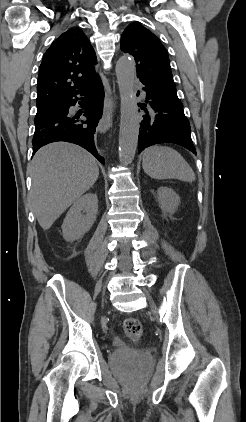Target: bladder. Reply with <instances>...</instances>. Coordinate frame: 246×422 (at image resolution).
I'll use <instances>...</instances> for the list:
<instances>
[{
    "label": "bladder",
    "mask_w": 246,
    "mask_h": 422,
    "mask_svg": "<svg viewBox=\"0 0 246 422\" xmlns=\"http://www.w3.org/2000/svg\"><path fill=\"white\" fill-rule=\"evenodd\" d=\"M109 361L115 368L131 367L143 370L152 364L153 358L147 351L119 346L112 351Z\"/></svg>",
    "instance_id": "1"
}]
</instances>
